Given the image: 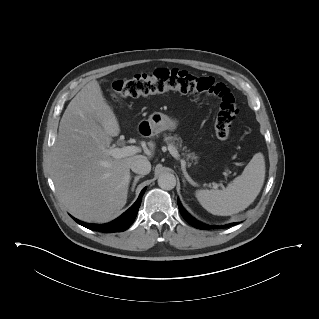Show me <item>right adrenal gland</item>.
Wrapping results in <instances>:
<instances>
[{
  "mask_svg": "<svg viewBox=\"0 0 319 319\" xmlns=\"http://www.w3.org/2000/svg\"><path fill=\"white\" fill-rule=\"evenodd\" d=\"M144 176L143 175H139V176H135L134 177V181H133V184H132V187H131V191L133 192L134 189H135V186L137 184V182L139 181L140 178H143Z\"/></svg>",
  "mask_w": 319,
  "mask_h": 319,
  "instance_id": "2a0ac1e0",
  "label": "right adrenal gland"
}]
</instances>
